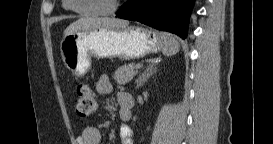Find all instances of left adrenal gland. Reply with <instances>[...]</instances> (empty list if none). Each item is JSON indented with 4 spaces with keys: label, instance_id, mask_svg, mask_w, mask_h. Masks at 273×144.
Returning <instances> with one entry per match:
<instances>
[{
    "label": "left adrenal gland",
    "instance_id": "1",
    "mask_svg": "<svg viewBox=\"0 0 273 144\" xmlns=\"http://www.w3.org/2000/svg\"><path fill=\"white\" fill-rule=\"evenodd\" d=\"M158 61L156 59H151L149 64L146 66L144 71L139 75L136 80V89L142 87L143 84L157 71Z\"/></svg>",
    "mask_w": 273,
    "mask_h": 144
}]
</instances>
